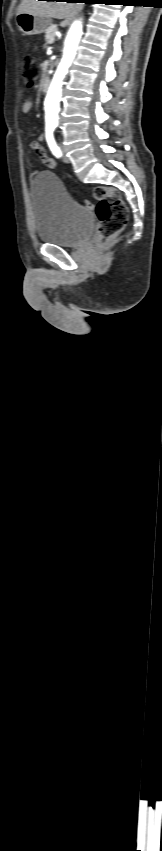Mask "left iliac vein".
I'll return each instance as SVG.
<instances>
[{
	"mask_svg": "<svg viewBox=\"0 0 162 851\" xmlns=\"http://www.w3.org/2000/svg\"><path fill=\"white\" fill-rule=\"evenodd\" d=\"M62 159H63V161H64L65 163H69V161H70V160H69V158L65 155V153H64V152H63Z\"/></svg>",
	"mask_w": 162,
	"mask_h": 851,
	"instance_id": "4c4485c4",
	"label": "left iliac vein"
}]
</instances>
